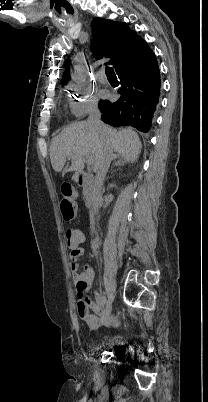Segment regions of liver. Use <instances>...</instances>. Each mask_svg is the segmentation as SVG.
Segmentation results:
<instances>
[{"instance_id": "6515ba94", "label": "liver", "mask_w": 208, "mask_h": 402, "mask_svg": "<svg viewBox=\"0 0 208 402\" xmlns=\"http://www.w3.org/2000/svg\"><path fill=\"white\" fill-rule=\"evenodd\" d=\"M103 140H108L112 150L122 156L126 162H136L142 148L140 138L133 130H112L104 126L102 130L90 126L87 122H75L64 128L53 138L50 144V162L55 172H62L66 160L72 158V164L65 172H81L84 168L82 156H92V164H97V156L103 148ZM116 156V154H115Z\"/></svg>"}]
</instances>
